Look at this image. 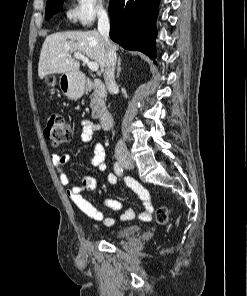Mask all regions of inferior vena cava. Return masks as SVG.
Here are the masks:
<instances>
[{
    "label": "inferior vena cava",
    "instance_id": "inferior-vena-cava-1",
    "mask_svg": "<svg viewBox=\"0 0 247 296\" xmlns=\"http://www.w3.org/2000/svg\"><path fill=\"white\" fill-rule=\"evenodd\" d=\"M110 21L106 11H101L98 20V31L102 36L106 47V62L104 71L105 84L110 92L116 89L117 85L114 78V71L116 66V52L109 40ZM127 150L125 143L119 140L116 145L117 152H125Z\"/></svg>",
    "mask_w": 247,
    "mask_h": 296
}]
</instances>
